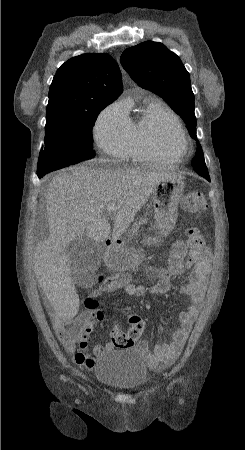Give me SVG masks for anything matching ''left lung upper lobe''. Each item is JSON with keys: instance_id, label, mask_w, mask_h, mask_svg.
<instances>
[{"instance_id": "1", "label": "left lung upper lobe", "mask_w": 245, "mask_h": 450, "mask_svg": "<svg viewBox=\"0 0 245 450\" xmlns=\"http://www.w3.org/2000/svg\"><path fill=\"white\" fill-rule=\"evenodd\" d=\"M120 62L139 86L162 96L174 108L188 126L191 137L198 141L194 94L180 58L162 43L148 41L126 49ZM192 166L199 175L208 174L199 146Z\"/></svg>"}]
</instances>
